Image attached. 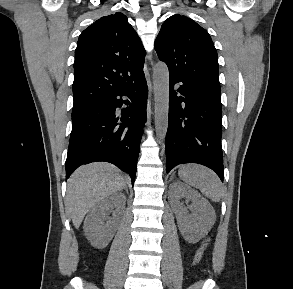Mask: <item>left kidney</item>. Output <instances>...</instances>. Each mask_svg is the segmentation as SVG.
I'll list each match as a JSON object with an SVG mask.
<instances>
[{
  "label": "left kidney",
  "instance_id": "1",
  "mask_svg": "<svg viewBox=\"0 0 293 289\" xmlns=\"http://www.w3.org/2000/svg\"><path fill=\"white\" fill-rule=\"evenodd\" d=\"M172 192L171 207L176 214L177 224L184 239L189 243H196L210 230L215 220L212 205L197 191L189 186L176 182L170 186ZM192 201L193 215H187L180 199Z\"/></svg>",
  "mask_w": 293,
  "mask_h": 289
}]
</instances>
